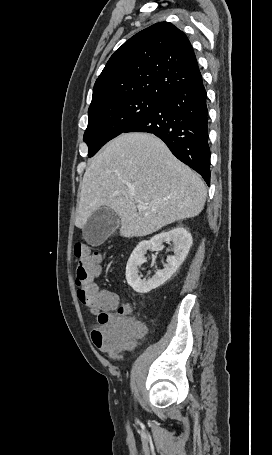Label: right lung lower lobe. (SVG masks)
<instances>
[{
    "mask_svg": "<svg viewBox=\"0 0 272 455\" xmlns=\"http://www.w3.org/2000/svg\"><path fill=\"white\" fill-rule=\"evenodd\" d=\"M202 77L167 95L160 107L128 127L161 138L171 152L210 184L208 109Z\"/></svg>",
    "mask_w": 272,
    "mask_h": 455,
    "instance_id": "right-lung-lower-lobe-1",
    "label": "right lung lower lobe"
}]
</instances>
